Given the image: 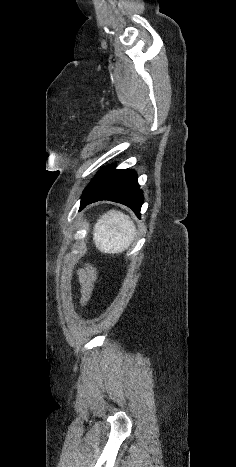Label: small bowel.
I'll use <instances>...</instances> for the list:
<instances>
[{
    "label": "small bowel",
    "instance_id": "obj_1",
    "mask_svg": "<svg viewBox=\"0 0 236 467\" xmlns=\"http://www.w3.org/2000/svg\"><path fill=\"white\" fill-rule=\"evenodd\" d=\"M97 278L98 271L92 266H89L79 272L81 303L83 305H86L92 298L96 287Z\"/></svg>",
    "mask_w": 236,
    "mask_h": 467
}]
</instances>
